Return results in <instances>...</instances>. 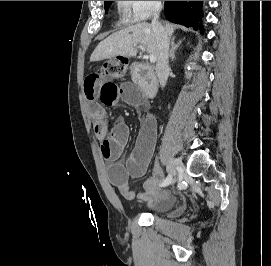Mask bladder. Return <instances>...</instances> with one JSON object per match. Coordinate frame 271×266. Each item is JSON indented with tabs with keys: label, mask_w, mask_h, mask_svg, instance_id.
I'll list each match as a JSON object with an SVG mask.
<instances>
[{
	"label": "bladder",
	"mask_w": 271,
	"mask_h": 266,
	"mask_svg": "<svg viewBox=\"0 0 271 266\" xmlns=\"http://www.w3.org/2000/svg\"><path fill=\"white\" fill-rule=\"evenodd\" d=\"M186 209H187V205L186 204L185 205H181V206H179L178 208L175 209V212L181 213V212L185 211Z\"/></svg>",
	"instance_id": "bladder-1"
}]
</instances>
